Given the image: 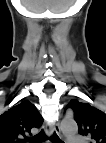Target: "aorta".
<instances>
[{
	"label": "aorta",
	"mask_w": 106,
	"mask_h": 143,
	"mask_svg": "<svg viewBox=\"0 0 106 143\" xmlns=\"http://www.w3.org/2000/svg\"><path fill=\"white\" fill-rule=\"evenodd\" d=\"M60 129L66 137H72L78 131L77 123L72 118H64L61 121Z\"/></svg>",
	"instance_id": "obj_1"
}]
</instances>
